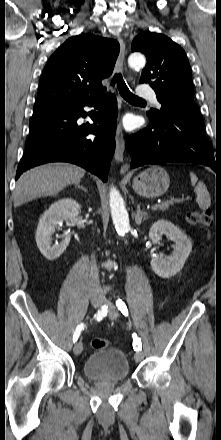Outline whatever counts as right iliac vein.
<instances>
[{
  "mask_svg": "<svg viewBox=\"0 0 221 440\" xmlns=\"http://www.w3.org/2000/svg\"><path fill=\"white\" fill-rule=\"evenodd\" d=\"M92 305H93L94 308H99V307H101L102 303H101L100 301H98V300L93 299V300H92ZM82 350H83V344H82L81 341H78V342L74 345V349H73L74 354H75V355H80L81 352H82Z\"/></svg>",
  "mask_w": 221,
  "mask_h": 440,
  "instance_id": "1",
  "label": "right iliac vein"
}]
</instances>
